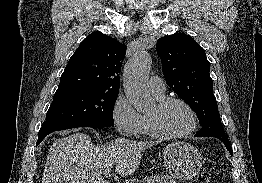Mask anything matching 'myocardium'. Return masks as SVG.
<instances>
[{"label": "myocardium", "mask_w": 262, "mask_h": 183, "mask_svg": "<svg viewBox=\"0 0 262 183\" xmlns=\"http://www.w3.org/2000/svg\"><path fill=\"white\" fill-rule=\"evenodd\" d=\"M173 103L181 104L190 112L191 117H192L191 127L187 131L179 133V134H167V133H164L159 128L155 117L147 115L146 118H147L148 129H149L150 134L153 137L158 138V139H162V140L181 139V138H185V137L191 135L196 130V128L198 126L197 113H196L195 109L187 101H185L181 98L165 97L163 99H160L156 104L157 111L161 112Z\"/></svg>", "instance_id": "f54148a6"}]
</instances>
